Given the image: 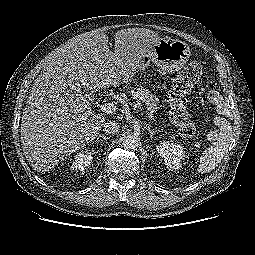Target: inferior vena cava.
<instances>
[{
    "mask_svg": "<svg viewBox=\"0 0 255 255\" xmlns=\"http://www.w3.org/2000/svg\"><path fill=\"white\" fill-rule=\"evenodd\" d=\"M120 126L118 122L109 121L104 124V131L108 134H115L118 132Z\"/></svg>",
    "mask_w": 255,
    "mask_h": 255,
    "instance_id": "602c4592",
    "label": "inferior vena cava"
}]
</instances>
